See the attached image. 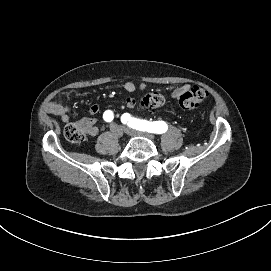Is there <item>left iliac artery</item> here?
<instances>
[{"instance_id":"1","label":"left iliac artery","mask_w":271,"mask_h":271,"mask_svg":"<svg viewBox=\"0 0 271 271\" xmlns=\"http://www.w3.org/2000/svg\"><path fill=\"white\" fill-rule=\"evenodd\" d=\"M130 119V121H129ZM129 121V122H128ZM121 122L126 124L136 130L143 131V132H150L156 134L165 133L168 129L167 124L164 121H147V120H140L136 118H130V114L124 113L121 116Z\"/></svg>"}]
</instances>
